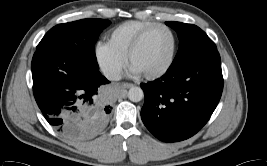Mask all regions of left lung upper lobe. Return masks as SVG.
I'll return each instance as SVG.
<instances>
[{
    "label": "left lung upper lobe",
    "mask_w": 267,
    "mask_h": 166,
    "mask_svg": "<svg viewBox=\"0 0 267 166\" xmlns=\"http://www.w3.org/2000/svg\"><path fill=\"white\" fill-rule=\"evenodd\" d=\"M166 25L177 32L180 40L178 53L171 65L180 64L205 52L217 50L216 45L206 33L193 24L166 22Z\"/></svg>",
    "instance_id": "left-lung-upper-lobe-1"
}]
</instances>
